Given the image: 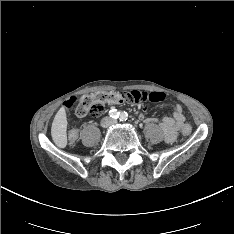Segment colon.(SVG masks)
Wrapping results in <instances>:
<instances>
[{
  "label": "colon",
  "instance_id": "5ec220e1",
  "mask_svg": "<svg viewBox=\"0 0 234 234\" xmlns=\"http://www.w3.org/2000/svg\"><path fill=\"white\" fill-rule=\"evenodd\" d=\"M165 98L164 93L152 92L146 93L142 91H111V92H96L82 97H74L69 101V106H75L76 115L79 117L100 116L106 104H121V103H135L141 104L146 102H161ZM182 133L189 135L191 133V126L186 124L183 127ZM79 138V131L71 129L68 132V141L70 145L77 142Z\"/></svg>",
  "mask_w": 234,
  "mask_h": 234
}]
</instances>
